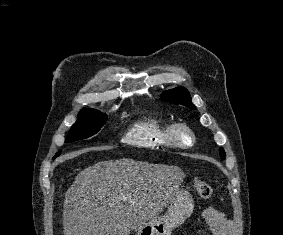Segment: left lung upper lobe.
Here are the masks:
<instances>
[{"label":"left lung upper lobe","instance_id":"5c2ea615","mask_svg":"<svg viewBox=\"0 0 283 235\" xmlns=\"http://www.w3.org/2000/svg\"><path fill=\"white\" fill-rule=\"evenodd\" d=\"M161 100L163 101L169 100L172 103L181 104L189 108H194L188 90L183 87H178L164 92L161 95ZM220 155L222 159H225V151L222 147L220 148Z\"/></svg>","mask_w":283,"mask_h":235}]
</instances>
